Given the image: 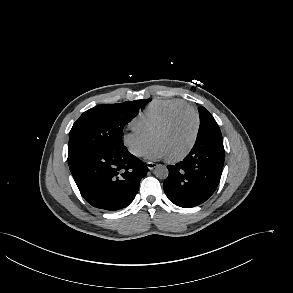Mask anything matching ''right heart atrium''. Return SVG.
I'll list each match as a JSON object with an SVG mask.
<instances>
[{"mask_svg":"<svg viewBox=\"0 0 293 293\" xmlns=\"http://www.w3.org/2000/svg\"><path fill=\"white\" fill-rule=\"evenodd\" d=\"M122 142L132 155L140 157L150 146L151 137L132 128L123 134Z\"/></svg>","mask_w":293,"mask_h":293,"instance_id":"obj_1","label":"right heart atrium"}]
</instances>
